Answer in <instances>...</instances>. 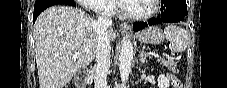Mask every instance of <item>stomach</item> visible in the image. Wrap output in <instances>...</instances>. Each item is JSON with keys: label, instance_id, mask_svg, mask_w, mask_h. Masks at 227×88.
Wrapping results in <instances>:
<instances>
[{"label": "stomach", "instance_id": "stomach-1", "mask_svg": "<svg viewBox=\"0 0 227 88\" xmlns=\"http://www.w3.org/2000/svg\"><path fill=\"white\" fill-rule=\"evenodd\" d=\"M136 36L140 42L153 45L160 44L164 40L163 32L157 26H151L139 32Z\"/></svg>", "mask_w": 227, "mask_h": 88}]
</instances>
